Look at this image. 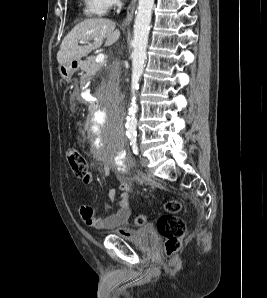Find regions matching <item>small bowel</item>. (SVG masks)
Listing matches in <instances>:
<instances>
[{"label": "small bowel", "instance_id": "obj_1", "mask_svg": "<svg viewBox=\"0 0 267 298\" xmlns=\"http://www.w3.org/2000/svg\"><path fill=\"white\" fill-rule=\"evenodd\" d=\"M117 180L119 182L120 189V200H119V208L117 211L106 217H97L95 216L94 209L90 205H82L79 208V215L82 221L91 228L98 230H111L118 229L121 235L129 236L131 234V230L125 225L128 222L130 217V208H129V192L130 185L128 182L122 177L121 174L117 175ZM93 181V177L89 174L86 180H83V183L86 185L91 184ZM108 199L113 202L116 199V190L110 189L108 191Z\"/></svg>", "mask_w": 267, "mask_h": 298}]
</instances>
